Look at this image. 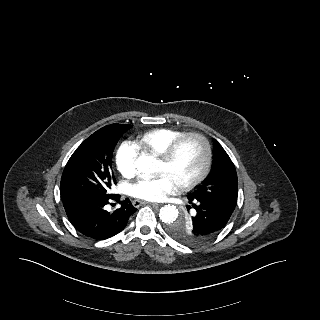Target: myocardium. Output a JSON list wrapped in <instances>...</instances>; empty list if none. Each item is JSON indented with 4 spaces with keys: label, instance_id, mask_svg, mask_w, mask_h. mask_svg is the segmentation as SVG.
<instances>
[{
    "label": "myocardium",
    "instance_id": "1",
    "mask_svg": "<svg viewBox=\"0 0 320 320\" xmlns=\"http://www.w3.org/2000/svg\"><path fill=\"white\" fill-rule=\"evenodd\" d=\"M190 138L197 139L200 142L203 150V161L199 172L194 177L176 186L179 191H185L193 188L207 176L212 161V150L209 140L200 132H186L171 142L164 152L159 155L160 161L166 164L171 163L174 160L181 144Z\"/></svg>",
    "mask_w": 320,
    "mask_h": 320
}]
</instances>
